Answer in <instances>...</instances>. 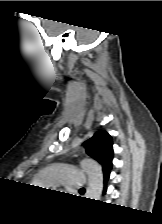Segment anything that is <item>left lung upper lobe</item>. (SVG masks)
<instances>
[{"label": "left lung upper lobe", "instance_id": "5c2ea615", "mask_svg": "<svg viewBox=\"0 0 162 224\" xmlns=\"http://www.w3.org/2000/svg\"><path fill=\"white\" fill-rule=\"evenodd\" d=\"M83 145L86 153L102 165L104 174L110 172L113 159L112 137L105 131H98Z\"/></svg>", "mask_w": 162, "mask_h": 224}]
</instances>
